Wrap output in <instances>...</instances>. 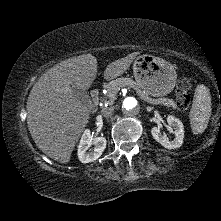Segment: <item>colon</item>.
<instances>
[{
	"mask_svg": "<svg viewBox=\"0 0 221 221\" xmlns=\"http://www.w3.org/2000/svg\"><path fill=\"white\" fill-rule=\"evenodd\" d=\"M192 82L187 78H180L176 86L177 105L180 109L186 110L191 104L190 90Z\"/></svg>",
	"mask_w": 221,
	"mask_h": 221,
	"instance_id": "obj_1",
	"label": "colon"
}]
</instances>
